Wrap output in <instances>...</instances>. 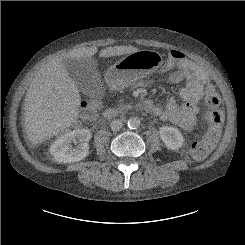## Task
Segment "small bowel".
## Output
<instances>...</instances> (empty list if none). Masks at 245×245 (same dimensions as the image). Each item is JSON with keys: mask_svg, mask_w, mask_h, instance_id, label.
I'll return each mask as SVG.
<instances>
[{"mask_svg": "<svg viewBox=\"0 0 245 245\" xmlns=\"http://www.w3.org/2000/svg\"><path fill=\"white\" fill-rule=\"evenodd\" d=\"M169 81L174 85L186 82V85L175 96H172L164 107L156 105V108L150 113L181 128L191 129L195 124L199 103L206 94L205 84L213 86L211 77L205 68L189 59H184L175 65ZM178 99L184 103L179 105Z\"/></svg>", "mask_w": 245, "mask_h": 245, "instance_id": "obj_1", "label": "small bowel"}]
</instances>
